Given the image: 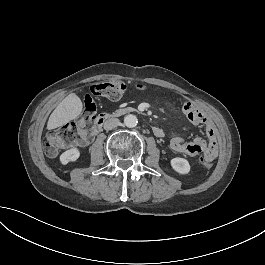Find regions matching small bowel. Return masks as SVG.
I'll return each instance as SVG.
<instances>
[{
	"instance_id": "obj_1",
	"label": "small bowel",
	"mask_w": 265,
	"mask_h": 265,
	"mask_svg": "<svg viewBox=\"0 0 265 265\" xmlns=\"http://www.w3.org/2000/svg\"><path fill=\"white\" fill-rule=\"evenodd\" d=\"M182 113L194 125H205L208 136V143L202 138H195L187 141L182 137H173L169 142V147L172 151L185 154L188 156H195L202 154L210 163L217 157V141L212 123L208 118L191 102H185L181 106Z\"/></svg>"
}]
</instances>
